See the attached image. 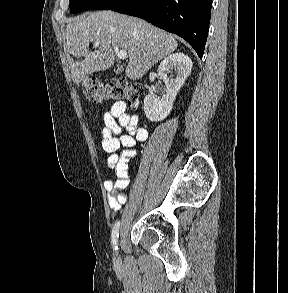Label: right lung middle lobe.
Instances as JSON below:
<instances>
[{"label":"right lung middle lobe","instance_id":"obj_1","mask_svg":"<svg viewBox=\"0 0 288 293\" xmlns=\"http://www.w3.org/2000/svg\"><path fill=\"white\" fill-rule=\"evenodd\" d=\"M122 0H70V12L78 13L83 10H108Z\"/></svg>","mask_w":288,"mask_h":293}]
</instances>
